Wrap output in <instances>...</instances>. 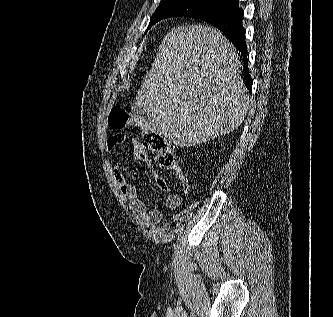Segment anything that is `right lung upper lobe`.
<instances>
[{
	"instance_id": "right-lung-upper-lobe-1",
	"label": "right lung upper lobe",
	"mask_w": 333,
	"mask_h": 317,
	"mask_svg": "<svg viewBox=\"0 0 333 317\" xmlns=\"http://www.w3.org/2000/svg\"><path fill=\"white\" fill-rule=\"evenodd\" d=\"M230 3L238 2V0H228Z\"/></svg>"
}]
</instances>
